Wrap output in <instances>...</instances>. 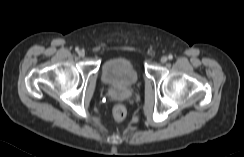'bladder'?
<instances>
[{"mask_svg":"<svg viewBox=\"0 0 244 157\" xmlns=\"http://www.w3.org/2000/svg\"><path fill=\"white\" fill-rule=\"evenodd\" d=\"M100 77L105 85L118 92L131 90L139 82V73L134 63L121 56L105 60Z\"/></svg>","mask_w":244,"mask_h":157,"instance_id":"bladder-1","label":"bladder"}]
</instances>
